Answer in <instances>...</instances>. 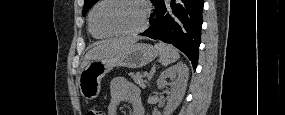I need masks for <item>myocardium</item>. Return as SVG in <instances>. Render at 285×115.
<instances>
[{
  "label": "myocardium",
  "instance_id": "obj_1",
  "mask_svg": "<svg viewBox=\"0 0 285 115\" xmlns=\"http://www.w3.org/2000/svg\"><path fill=\"white\" fill-rule=\"evenodd\" d=\"M108 1H114V0H102L99 3H97L92 11L89 14V24L94 32L97 34L107 36V37H129V36H135L143 32L147 26H148V18H149V6L146 1L144 0H126V1H132L134 3H137L142 10V24L139 28L133 31L128 32H115V31H109V30H103L100 29L96 23H95V13L98 10L100 6H102L104 3Z\"/></svg>",
  "mask_w": 285,
  "mask_h": 115
}]
</instances>
